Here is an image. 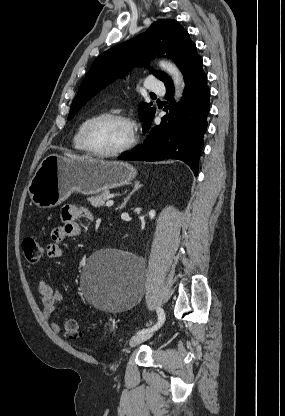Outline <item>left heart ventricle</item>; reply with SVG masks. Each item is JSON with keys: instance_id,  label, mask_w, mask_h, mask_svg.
Wrapping results in <instances>:
<instances>
[{"instance_id": "obj_1", "label": "left heart ventricle", "mask_w": 285, "mask_h": 416, "mask_svg": "<svg viewBox=\"0 0 285 416\" xmlns=\"http://www.w3.org/2000/svg\"><path fill=\"white\" fill-rule=\"evenodd\" d=\"M127 127L116 120H102L90 129L91 144L104 151L116 150L122 147L128 139Z\"/></svg>"}]
</instances>
